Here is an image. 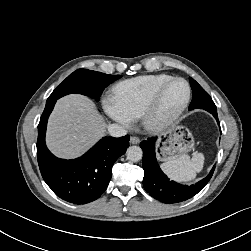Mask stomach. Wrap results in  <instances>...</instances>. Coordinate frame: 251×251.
Segmentation results:
<instances>
[{
  "label": "stomach",
  "mask_w": 251,
  "mask_h": 251,
  "mask_svg": "<svg viewBox=\"0 0 251 251\" xmlns=\"http://www.w3.org/2000/svg\"><path fill=\"white\" fill-rule=\"evenodd\" d=\"M193 146L191 134L183 126H175L159 137L158 158L161 161H169L187 153Z\"/></svg>",
  "instance_id": "1"
}]
</instances>
